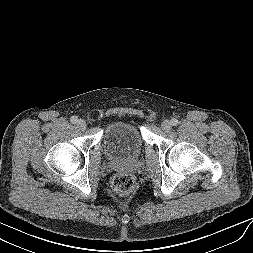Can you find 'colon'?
Here are the masks:
<instances>
[{"label":"colon","instance_id":"5ec220e1","mask_svg":"<svg viewBox=\"0 0 253 253\" xmlns=\"http://www.w3.org/2000/svg\"><path fill=\"white\" fill-rule=\"evenodd\" d=\"M113 187L119 193L130 192L134 187V179L130 174H118L113 179Z\"/></svg>","mask_w":253,"mask_h":253}]
</instances>
